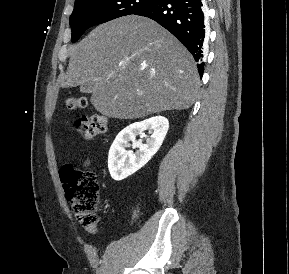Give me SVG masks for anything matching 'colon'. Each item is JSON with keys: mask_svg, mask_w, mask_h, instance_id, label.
<instances>
[{"mask_svg": "<svg viewBox=\"0 0 289 274\" xmlns=\"http://www.w3.org/2000/svg\"><path fill=\"white\" fill-rule=\"evenodd\" d=\"M84 97H68L66 106L70 110L86 107ZM76 127L86 139H93L108 131V120L97 114L83 117L76 122ZM61 181L67 200L80 224L89 232L96 230L97 212L99 206V183L96 175L85 169L75 168L71 164L63 166L60 172Z\"/></svg>", "mask_w": 289, "mask_h": 274, "instance_id": "5ec220e1", "label": "colon"}]
</instances>
